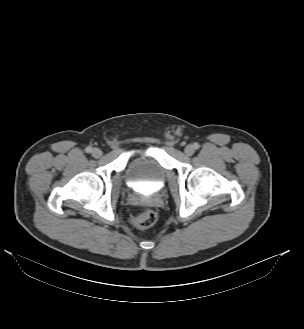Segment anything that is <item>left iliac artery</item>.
Here are the masks:
<instances>
[{"mask_svg": "<svg viewBox=\"0 0 304 329\" xmlns=\"http://www.w3.org/2000/svg\"><path fill=\"white\" fill-rule=\"evenodd\" d=\"M194 148L195 149H199V144L198 143H194Z\"/></svg>", "mask_w": 304, "mask_h": 329, "instance_id": "44dca946", "label": "left iliac artery"}]
</instances>
